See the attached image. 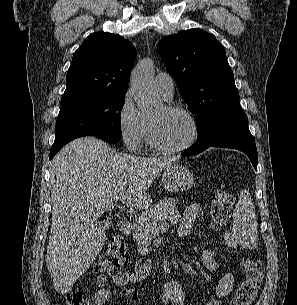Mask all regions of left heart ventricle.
<instances>
[{"label": "left heart ventricle", "mask_w": 297, "mask_h": 305, "mask_svg": "<svg viewBox=\"0 0 297 305\" xmlns=\"http://www.w3.org/2000/svg\"><path fill=\"white\" fill-rule=\"evenodd\" d=\"M157 141L164 147L174 148L186 143L192 135L189 119L179 113L161 108L150 119Z\"/></svg>", "instance_id": "b2bd125f"}]
</instances>
